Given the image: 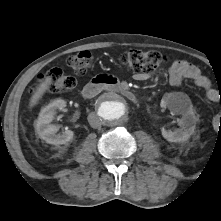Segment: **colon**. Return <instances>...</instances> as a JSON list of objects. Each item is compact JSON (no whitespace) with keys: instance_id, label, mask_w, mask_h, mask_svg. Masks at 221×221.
Instances as JSON below:
<instances>
[{"instance_id":"obj_1","label":"colon","mask_w":221,"mask_h":221,"mask_svg":"<svg viewBox=\"0 0 221 221\" xmlns=\"http://www.w3.org/2000/svg\"><path fill=\"white\" fill-rule=\"evenodd\" d=\"M121 63L135 73L152 74L160 69L166 62L167 57L157 51L129 50L121 54ZM92 62V54L89 51H80L67 59V66L76 75L85 74ZM38 82H44L53 92H66L77 85L73 76L66 75L61 69L55 68L41 76ZM221 103V97H220Z\"/></svg>"}]
</instances>
